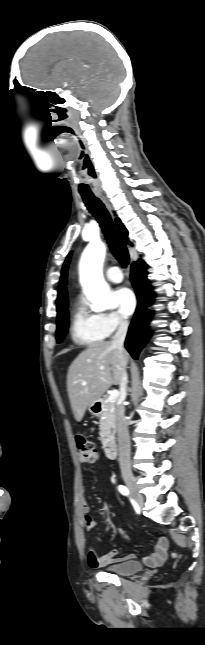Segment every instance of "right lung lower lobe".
<instances>
[{"instance_id":"1","label":"right lung lower lobe","mask_w":205,"mask_h":645,"mask_svg":"<svg viewBox=\"0 0 205 645\" xmlns=\"http://www.w3.org/2000/svg\"><path fill=\"white\" fill-rule=\"evenodd\" d=\"M147 265L143 261L131 265V281L138 299L134 318L129 326L125 347L134 359L148 342L150 337L149 322L153 311L147 307L153 301L152 289L147 279Z\"/></svg>"}]
</instances>
